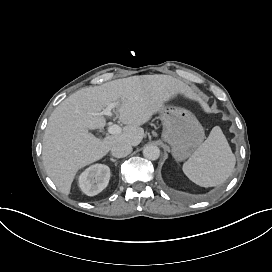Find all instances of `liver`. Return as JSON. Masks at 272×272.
Instances as JSON below:
<instances>
[{"label":"liver","instance_id":"obj_1","mask_svg":"<svg viewBox=\"0 0 272 272\" xmlns=\"http://www.w3.org/2000/svg\"><path fill=\"white\" fill-rule=\"evenodd\" d=\"M179 96L195 100L187 85L168 75L132 76L73 93L48 120L43 138L47 175L68 196L80 169L101 160L116 143L137 147L145 136L141 126ZM113 102H119V122L125 126L118 134L98 138L90 130L105 125L99 113Z\"/></svg>","mask_w":272,"mask_h":272}]
</instances>
